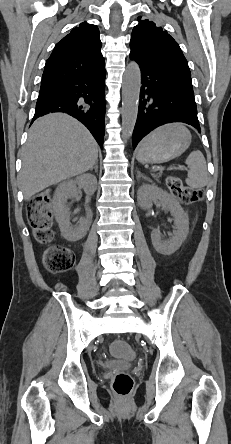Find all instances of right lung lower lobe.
I'll list each match as a JSON object with an SVG mask.
<instances>
[{"label": "right lung lower lobe", "instance_id": "1", "mask_svg": "<svg viewBox=\"0 0 231 444\" xmlns=\"http://www.w3.org/2000/svg\"><path fill=\"white\" fill-rule=\"evenodd\" d=\"M105 69L83 77L41 86L33 120L49 112H65L81 121L103 146Z\"/></svg>", "mask_w": 231, "mask_h": 444}]
</instances>
